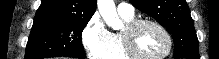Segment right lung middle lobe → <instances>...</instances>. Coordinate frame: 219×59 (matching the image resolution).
<instances>
[{"label":"right lung middle lobe","instance_id":"right-lung-middle-lobe-1","mask_svg":"<svg viewBox=\"0 0 219 59\" xmlns=\"http://www.w3.org/2000/svg\"><path fill=\"white\" fill-rule=\"evenodd\" d=\"M90 19L35 16L25 59L85 58L81 34Z\"/></svg>","mask_w":219,"mask_h":59}]
</instances>
